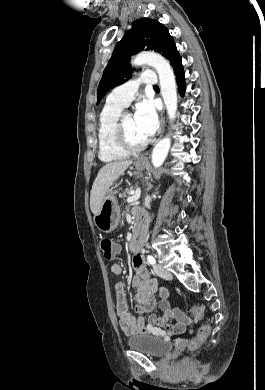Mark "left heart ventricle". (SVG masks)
Here are the masks:
<instances>
[{
	"label": "left heart ventricle",
	"mask_w": 265,
	"mask_h": 390,
	"mask_svg": "<svg viewBox=\"0 0 265 390\" xmlns=\"http://www.w3.org/2000/svg\"><path fill=\"white\" fill-rule=\"evenodd\" d=\"M124 128H125V132L127 134V137L131 143L137 145V144H141L142 142L145 141V139L139 134L132 115L127 114L125 116Z\"/></svg>",
	"instance_id": "b2bd125f"
}]
</instances>
